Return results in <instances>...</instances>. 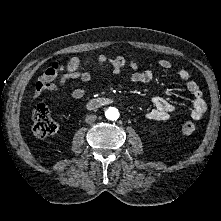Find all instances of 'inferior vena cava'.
Returning a JSON list of instances; mask_svg holds the SVG:
<instances>
[{
	"label": "inferior vena cava",
	"instance_id": "602c4592",
	"mask_svg": "<svg viewBox=\"0 0 221 221\" xmlns=\"http://www.w3.org/2000/svg\"><path fill=\"white\" fill-rule=\"evenodd\" d=\"M96 115H87L85 118L86 123H93L96 120Z\"/></svg>",
	"mask_w": 221,
	"mask_h": 221
}]
</instances>
